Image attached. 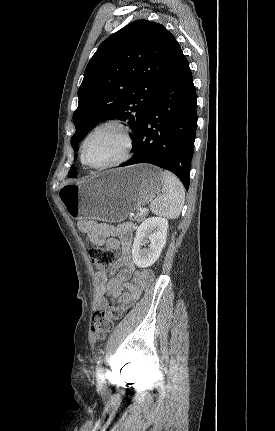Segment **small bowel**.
<instances>
[{
  "instance_id": "small-bowel-1",
  "label": "small bowel",
  "mask_w": 275,
  "mask_h": 431,
  "mask_svg": "<svg viewBox=\"0 0 275 431\" xmlns=\"http://www.w3.org/2000/svg\"><path fill=\"white\" fill-rule=\"evenodd\" d=\"M78 229L86 234L92 243L120 250V256L114 263L111 273L96 274L95 309L105 308L108 296L117 298L123 308L132 306L153 279L150 271L139 269L132 261L134 225L132 223L110 225L94 220H81L78 222Z\"/></svg>"
}]
</instances>
